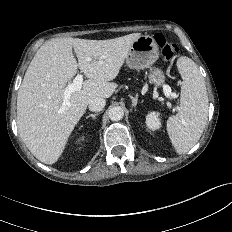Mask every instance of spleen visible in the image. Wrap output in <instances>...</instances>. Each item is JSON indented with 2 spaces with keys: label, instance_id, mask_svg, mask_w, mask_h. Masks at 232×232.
Segmentation results:
<instances>
[{
  "label": "spleen",
  "instance_id": "obj_1",
  "mask_svg": "<svg viewBox=\"0 0 232 232\" xmlns=\"http://www.w3.org/2000/svg\"><path fill=\"white\" fill-rule=\"evenodd\" d=\"M177 68L183 79L180 111L167 120V131L175 151L187 152L200 139L208 115V96L205 81L196 63L182 56Z\"/></svg>",
  "mask_w": 232,
  "mask_h": 232
}]
</instances>
